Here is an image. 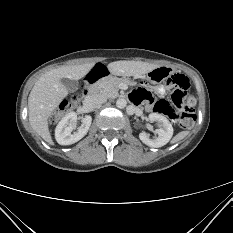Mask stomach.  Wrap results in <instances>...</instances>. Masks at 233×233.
I'll return each instance as SVG.
<instances>
[{"instance_id":"stomach-1","label":"stomach","mask_w":233,"mask_h":233,"mask_svg":"<svg viewBox=\"0 0 233 233\" xmlns=\"http://www.w3.org/2000/svg\"><path fill=\"white\" fill-rule=\"evenodd\" d=\"M172 74V70L169 67H164V66H160L157 67L156 69L148 72L147 75V79L151 82V83H156L159 82L161 80L166 79L167 77H169ZM127 83L129 85H135V82L127 80Z\"/></svg>"}]
</instances>
